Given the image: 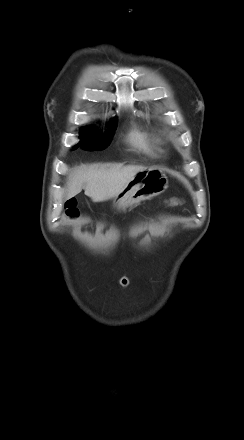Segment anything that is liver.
<instances>
[{"mask_svg": "<svg viewBox=\"0 0 244 440\" xmlns=\"http://www.w3.org/2000/svg\"><path fill=\"white\" fill-rule=\"evenodd\" d=\"M142 169L139 165L79 167L69 178L67 197L76 196L84 189L85 195L95 202L115 198Z\"/></svg>", "mask_w": 244, "mask_h": 440, "instance_id": "6515ba94", "label": "liver"}]
</instances>
